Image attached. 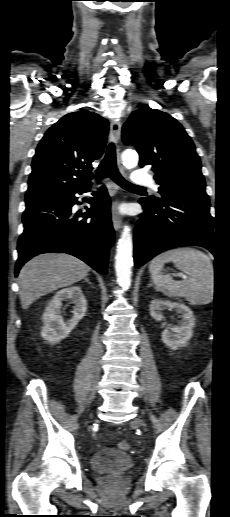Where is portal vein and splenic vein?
<instances>
[{
    "label": "portal vein and splenic vein",
    "instance_id": "portal-vein-and-splenic-vein-1",
    "mask_svg": "<svg viewBox=\"0 0 230 517\" xmlns=\"http://www.w3.org/2000/svg\"><path fill=\"white\" fill-rule=\"evenodd\" d=\"M179 276H180L181 278H183V279H185V278H186V276H185V275H183V274H179Z\"/></svg>",
    "mask_w": 230,
    "mask_h": 517
}]
</instances>
